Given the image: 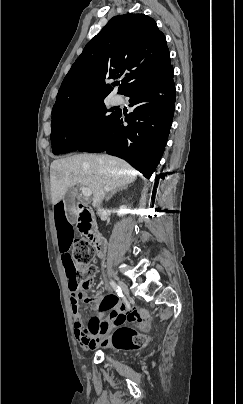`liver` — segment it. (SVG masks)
Returning <instances> with one entry per match:
<instances>
[{
    "label": "liver",
    "instance_id": "6515ba94",
    "mask_svg": "<svg viewBox=\"0 0 243 404\" xmlns=\"http://www.w3.org/2000/svg\"><path fill=\"white\" fill-rule=\"evenodd\" d=\"M138 174L139 172L124 160L107 154L103 156L79 154L71 158L54 160L50 166L52 204H58L69 188L82 184L90 188L93 194L92 206L97 208L107 192L132 184Z\"/></svg>",
    "mask_w": 243,
    "mask_h": 404
}]
</instances>
